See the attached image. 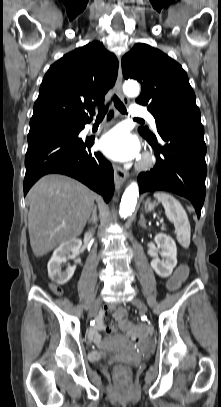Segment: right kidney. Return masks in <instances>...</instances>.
Here are the masks:
<instances>
[{
	"mask_svg": "<svg viewBox=\"0 0 221 407\" xmlns=\"http://www.w3.org/2000/svg\"><path fill=\"white\" fill-rule=\"evenodd\" d=\"M81 245V240L72 239L64 242L54 250L53 255L47 265L48 275L54 283L63 285L72 278L76 266H69L65 271H62L61 264L66 262L68 258L75 259V257L79 254Z\"/></svg>",
	"mask_w": 221,
	"mask_h": 407,
	"instance_id": "obj_1",
	"label": "right kidney"
}]
</instances>
